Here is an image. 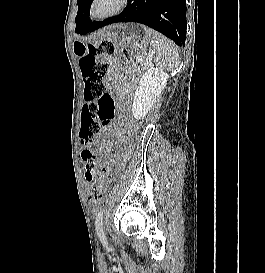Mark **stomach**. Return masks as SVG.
<instances>
[{"instance_id": "1", "label": "stomach", "mask_w": 265, "mask_h": 273, "mask_svg": "<svg viewBox=\"0 0 265 273\" xmlns=\"http://www.w3.org/2000/svg\"><path fill=\"white\" fill-rule=\"evenodd\" d=\"M107 30H102V39L107 40H123L128 45H137L141 41V35H151V30H146V25H107ZM136 43V44H135ZM83 44L75 42L74 48L76 51H80Z\"/></svg>"}]
</instances>
